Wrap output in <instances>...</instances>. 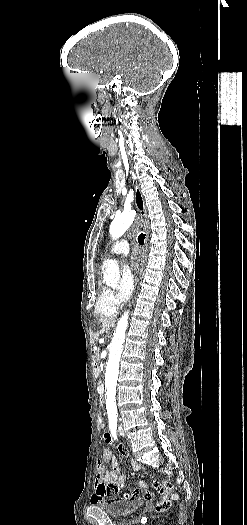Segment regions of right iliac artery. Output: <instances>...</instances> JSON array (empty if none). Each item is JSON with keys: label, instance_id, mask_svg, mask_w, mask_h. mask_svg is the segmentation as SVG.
<instances>
[{"label": "right iliac artery", "instance_id": "82829eb1", "mask_svg": "<svg viewBox=\"0 0 247 525\" xmlns=\"http://www.w3.org/2000/svg\"><path fill=\"white\" fill-rule=\"evenodd\" d=\"M109 428H110L113 438L116 440L117 439V424L111 423L109 424Z\"/></svg>", "mask_w": 247, "mask_h": 525}]
</instances>
